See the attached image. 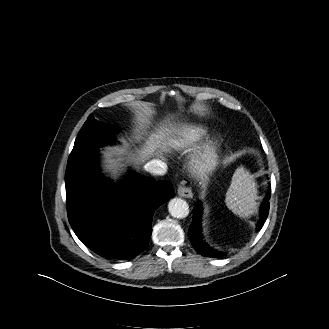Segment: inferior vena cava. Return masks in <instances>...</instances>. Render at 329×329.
Segmentation results:
<instances>
[{
	"label": "inferior vena cava",
	"instance_id": "inferior-vena-cava-1",
	"mask_svg": "<svg viewBox=\"0 0 329 329\" xmlns=\"http://www.w3.org/2000/svg\"><path fill=\"white\" fill-rule=\"evenodd\" d=\"M144 169L153 175H164L167 171V164L159 159H153L145 164Z\"/></svg>",
	"mask_w": 329,
	"mask_h": 329
}]
</instances>
